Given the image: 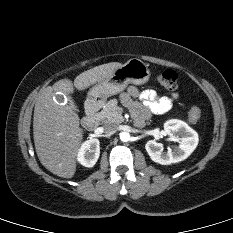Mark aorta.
Wrapping results in <instances>:
<instances>
[{
	"instance_id": "1",
	"label": "aorta",
	"mask_w": 233,
	"mask_h": 233,
	"mask_svg": "<svg viewBox=\"0 0 233 233\" xmlns=\"http://www.w3.org/2000/svg\"><path fill=\"white\" fill-rule=\"evenodd\" d=\"M120 140L122 142H128L130 140V134L128 132L120 133Z\"/></svg>"
}]
</instances>
